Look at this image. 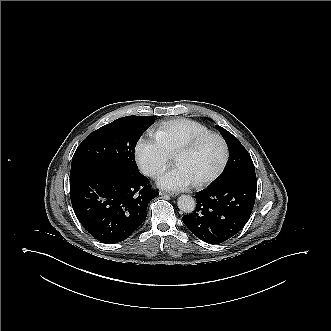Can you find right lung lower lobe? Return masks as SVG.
I'll use <instances>...</instances> for the list:
<instances>
[{"label":"right lung lower lobe","mask_w":331,"mask_h":331,"mask_svg":"<svg viewBox=\"0 0 331 331\" xmlns=\"http://www.w3.org/2000/svg\"><path fill=\"white\" fill-rule=\"evenodd\" d=\"M141 173L127 177L109 167H85L70 174V198L82 226L95 239L112 244L127 239L146 219L158 196Z\"/></svg>","instance_id":"obj_1"}]
</instances>
